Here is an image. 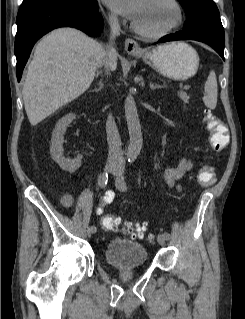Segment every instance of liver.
Listing matches in <instances>:
<instances>
[{
    "label": "liver",
    "mask_w": 245,
    "mask_h": 319,
    "mask_svg": "<svg viewBox=\"0 0 245 319\" xmlns=\"http://www.w3.org/2000/svg\"><path fill=\"white\" fill-rule=\"evenodd\" d=\"M104 47L74 28H59L43 37L28 65L23 86L27 117L36 126L83 94L103 63ZM117 58L108 60L116 70Z\"/></svg>",
    "instance_id": "1"
}]
</instances>
